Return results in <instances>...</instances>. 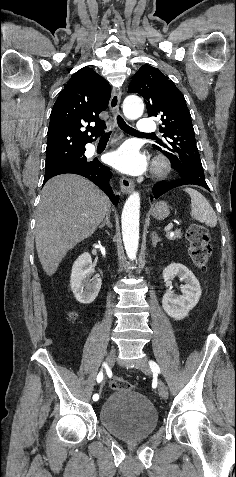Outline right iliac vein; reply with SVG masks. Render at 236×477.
Segmentation results:
<instances>
[{
    "instance_id": "1",
    "label": "right iliac vein",
    "mask_w": 236,
    "mask_h": 477,
    "mask_svg": "<svg viewBox=\"0 0 236 477\" xmlns=\"http://www.w3.org/2000/svg\"><path fill=\"white\" fill-rule=\"evenodd\" d=\"M115 354H116L115 349H114V348H111V350H110V352H109V355H108V358H107V366H108V367H111V366L113 365L114 360H115ZM98 389H99V390H98V391H99V392H98V395H99V397H100L101 399H103V397H102V390H103V389H106V386H105L104 384H100V385L98 386Z\"/></svg>"
}]
</instances>
